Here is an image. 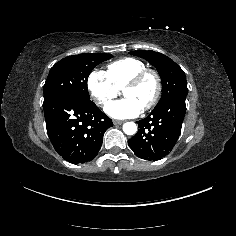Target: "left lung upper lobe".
Segmentation results:
<instances>
[{"mask_svg": "<svg viewBox=\"0 0 236 236\" xmlns=\"http://www.w3.org/2000/svg\"><path fill=\"white\" fill-rule=\"evenodd\" d=\"M130 54L146 59L158 71L162 83V96L156 106L178 95H187L184 71L173 60L155 51L138 50Z\"/></svg>", "mask_w": 236, "mask_h": 236, "instance_id": "1", "label": "left lung upper lobe"}]
</instances>
